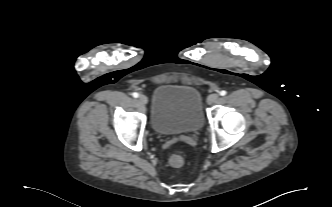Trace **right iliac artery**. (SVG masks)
I'll list each match as a JSON object with an SVG mask.
<instances>
[{
	"label": "right iliac artery",
	"mask_w": 332,
	"mask_h": 207,
	"mask_svg": "<svg viewBox=\"0 0 332 207\" xmlns=\"http://www.w3.org/2000/svg\"><path fill=\"white\" fill-rule=\"evenodd\" d=\"M132 96H133L134 98H138L139 94H138L137 92H134V93L132 94Z\"/></svg>",
	"instance_id": "right-iliac-artery-1"
}]
</instances>
